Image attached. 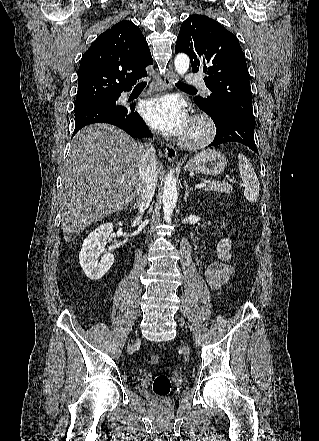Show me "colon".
<instances>
[{"label": "colon", "instance_id": "1", "mask_svg": "<svg viewBox=\"0 0 319 441\" xmlns=\"http://www.w3.org/2000/svg\"><path fill=\"white\" fill-rule=\"evenodd\" d=\"M149 364L158 365L161 361L158 355H149L147 358ZM153 392L158 397H166L171 390V381L165 374H159L155 377L152 385Z\"/></svg>", "mask_w": 319, "mask_h": 441}]
</instances>
